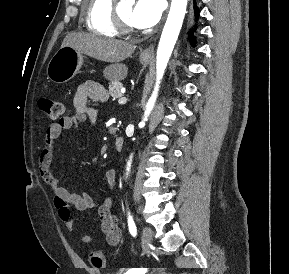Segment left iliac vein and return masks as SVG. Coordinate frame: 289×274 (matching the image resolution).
Here are the masks:
<instances>
[{
  "instance_id": "obj_1",
  "label": "left iliac vein",
  "mask_w": 289,
  "mask_h": 274,
  "mask_svg": "<svg viewBox=\"0 0 289 274\" xmlns=\"http://www.w3.org/2000/svg\"><path fill=\"white\" fill-rule=\"evenodd\" d=\"M153 241V231L149 227L142 228V242H143V249L148 250L149 246Z\"/></svg>"
}]
</instances>
